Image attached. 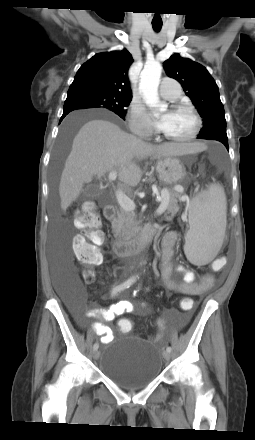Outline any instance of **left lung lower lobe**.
<instances>
[{
    "instance_id": "0a47b994",
    "label": "left lung lower lobe",
    "mask_w": 255,
    "mask_h": 440,
    "mask_svg": "<svg viewBox=\"0 0 255 440\" xmlns=\"http://www.w3.org/2000/svg\"><path fill=\"white\" fill-rule=\"evenodd\" d=\"M211 140H214V139H211ZM218 141L222 142L225 145V147L229 150V148H228V140L227 141L226 140H218Z\"/></svg>"
}]
</instances>
